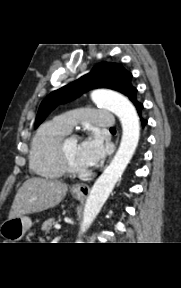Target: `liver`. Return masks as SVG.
Returning <instances> with one entry per match:
<instances>
[{"instance_id":"1","label":"liver","mask_w":181,"mask_h":288,"mask_svg":"<svg viewBox=\"0 0 181 288\" xmlns=\"http://www.w3.org/2000/svg\"><path fill=\"white\" fill-rule=\"evenodd\" d=\"M67 184L57 181L32 177L18 189L11 206L9 218L24 216L57 206L66 196Z\"/></svg>"}]
</instances>
